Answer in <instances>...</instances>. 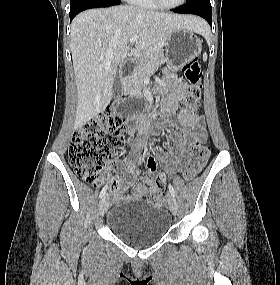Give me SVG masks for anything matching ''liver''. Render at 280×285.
Segmentation results:
<instances>
[{
    "label": "liver",
    "instance_id": "obj_1",
    "mask_svg": "<svg viewBox=\"0 0 280 285\" xmlns=\"http://www.w3.org/2000/svg\"><path fill=\"white\" fill-rule=\"evenodd\" d=\"M203 33L205 23L176 15L121 5L91 9L71 23L70 48L77 87L75 128L104 111L113 95L118 65L134 58L160 54L176 28ZM138 37L135 48L129 39Z\"/></svg>",
    "mask_w": 280,
    "mask_h": 285
}]
</instances>
